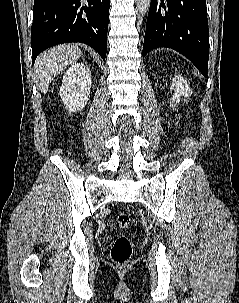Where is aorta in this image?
Listing matches in <instances>:
<instances>
[{"label":"aorta","mask_w":239,"mask_h":303,"mask_svg":"<svg viewBox=\"0 0 239 303\" xmlns=\"http://www.w3.org/2000/svg\"><path fill=\"white\" fill-rule=\"evenodd\" d=\"M151 0H136V9L141 16H144L150 7Z\"/></svg>","instance_id":"obj_1"}]
</instances>
